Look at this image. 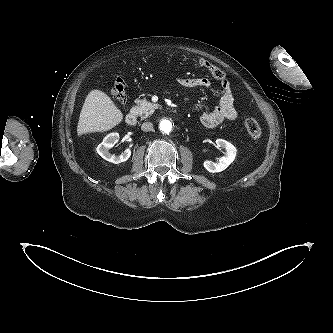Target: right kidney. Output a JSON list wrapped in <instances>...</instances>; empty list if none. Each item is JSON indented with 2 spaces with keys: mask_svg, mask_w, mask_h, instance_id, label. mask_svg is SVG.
Returning a JSON list of instances; mask_svg holds the SVG:
<instances>
[{
  "mask_svg": "<svg viewBox=\"0 0 333 333\" xmlns=\"http://www.w3.org/2000/svg\"><path fill=\"white\" fill-rule=\"evenodd\" d=\"M119 141L118 133H110L108 134L100 143L96 150L97 153L105 160L112 162L114 164H119L121 162H125L131 156V150L127 148L124 152H122L119 156L111 155L109 153V149L112 148Z\"/></svg>",
  "mask_w": 333,
  "mask_h": 333,
  "instance_id": "ca27d5eb",
  "label": "right kidney"
}]
</instances>
